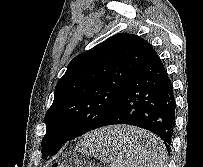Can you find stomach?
I'll list each match as a JSON object with an SVG mask.
<instances>
[{"label": "stomach", "instance_id": "0dacf381", "mask_svg": "<svg viewBox=\"0 0 203 167\" xmlns=\"http://www.w3.org/2000/svg\"><path fill=\"white\" fill-rule=\"evenodd\" d=\"M111 128H112V127H111ZM109 129H110V128L103 129V130H105V131H102V130H101V131H99V132H102L103 134L108 135L107 132H108ZM113 151H114V153H116V155L124 156V155L126 154V152H125L124 149L116 148V149H114Z\"/></svg>", "mask_w": 203, "mask_h": 167}]
</instances>
